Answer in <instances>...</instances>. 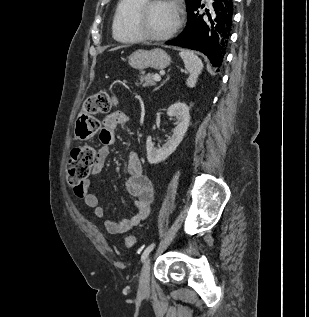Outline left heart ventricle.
<instances>
[{
  "label": "left heart ventricle",
  "instance_id": "1",
  "mask_svg": "<svg viewBox=\"0 0 309 317\" xmlns=\"http://www.w3.org/2000/svg\"><path fill=\"white\" fill-rule=\"evenodd\" d=\"M176 22V10L173 5L162 2L150 9L144 19V27L153 35L167 33Z\"/></svg>",
  "mask_w": 309,
  "mask_h": 317
}]
</instances>
